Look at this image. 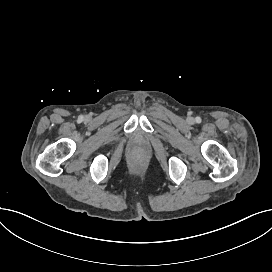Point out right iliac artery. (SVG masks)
Segmentation results:
<instances>
[{
	"instance_id": "82829eb1",
	"label": "right iliac artery",
	"mask_w": 272,
	"mask_h": 272,
	"mask_svg": "<svg viewBox=\"0 0 272 272\" xmlns=\"http://www.w3.org/2000/svg\"><path fill=\"white\" fill-rule=\"evenodd\" d=\"M80 120L82 121V120H83V117H80Z\"/></svg>"
}]
</instances>
